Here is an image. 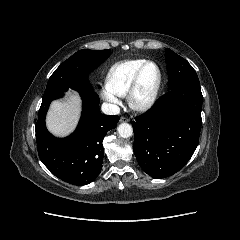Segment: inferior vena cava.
<instances>
[{
	"label": "inferior vena cava",
	"mask_w": 240,
	"mask_h": 240,
	"mask_svg": "<svg viewBox=\"0 0 240 240\" xmlns=\"http://www.w3.org/2000/svg\"><path fill=\"white\" fill-rule=\"evenodd\" d=\"M102 111L107 115H117L120 112L119 106L111 103H103Z\"/></svg>",
	"instance_id": "1"
}]
</instances>
